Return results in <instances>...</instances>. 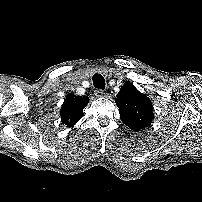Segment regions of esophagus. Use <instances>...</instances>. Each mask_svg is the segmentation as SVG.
<instances>
[{
    "instance_id": "1",
    "label": "esophagus",
    "mask_w": 202,
    "mask_h": 202,
    "mask_svg": "<svg viewBox=\"0 0 202 202\" xmlns=\"http://www.w3.org/2000/svg\"><path fill=\"white\" fill-rule=\"evenodd\" d=\"M94 94L96 97H104L107 93L103 90L97 89L94 91Z\"/></svg>"
}]
</instances>
